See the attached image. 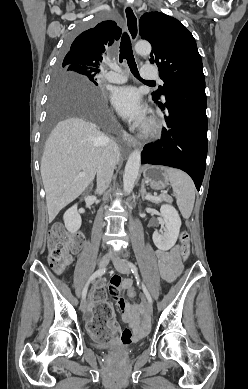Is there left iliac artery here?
I'll return each instance as SVG.
<instances>
[{
  "mask_svg": "<svg viewBox=\"0 0 248 389\" xmlns=\"http://www.w3.org/2000/svg\"><path fill=\"white\" fill-rule=\"evenodd\" d=\"M128 265L131 268L132 273H138V269H137V267L133 263L128 262ZM142 289H143L144 294L146 295L147 300L150 303H152L151 295L149 294V292H148V290H147V288L145 287L144 284H142Z\"/></svg>",
  "mask_w": 248,
  "mask_h": 389,
  "instance_id": "44dca946",
  "label": "left iliac artery"
}]
</instances>
